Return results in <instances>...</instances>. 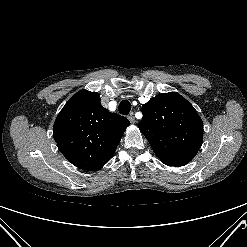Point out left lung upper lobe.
Instances as JSON below:
<instances>
[{
    "label": "left lung upper lobe",
    "instance_id": "obj_1",
    "mask_svg": "<svg viewBox=\"0 0 247 247\" xmlns=\"http://www.w3.org/2000/svg\"><path fill=\"white\" fill-rule=\"evenodd\" d=\"M142 113L138 127L164 164L180 167L194 158L203 122L190 102L176 92L162 93L144 104Z\"/></svg>",
    "mask_w": 247,
    "mask_h": 247
}]
</instances>
